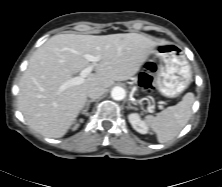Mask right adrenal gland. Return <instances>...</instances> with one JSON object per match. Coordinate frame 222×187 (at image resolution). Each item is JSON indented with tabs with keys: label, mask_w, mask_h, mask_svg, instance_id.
I'll return each instance as SVG.
<instances>
[{
	"label": "right adrenal gland",
	"mask_w": 222,
	"mask_h": 187,
	"mask_svg": "<svg viewBox=\"0 0 222 187\" xmlns=\"http://www.w3.org/2000/svg\"><path fill=\"white\" fill-rule=\"evenodd\" d=\"M94 101H95V100H89V101H87L84 109L82 110V114L88 115V112H87V111L89 110L90 104H91L92 102H94Z\"/></svg>",
	"instance_id": "obj_1"
}]
</instances>
